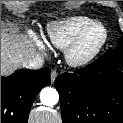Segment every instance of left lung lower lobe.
I'll return each instance as SVG.
<instances>
[{
	"label": "left lung lower lobe",
	"instance_id": "1",
	"mask_svg": "<svg viewBox=\"0 0 123 123\" xmlns=\"http://www.w3.org/2000/svg\"><path fill=\"white\" fill-rule=\"evenodd\" d=\"M63 123H123V49L55 80Z\"/></svg>",
	"mask_w": 123,
	"mask_h": 123
}]
</instances>
